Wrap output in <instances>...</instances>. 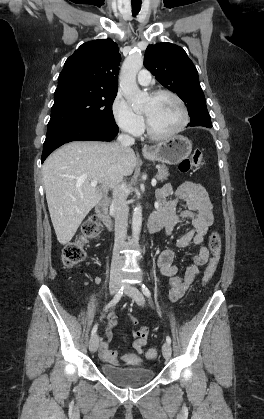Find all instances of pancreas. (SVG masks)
Instances as JSON below:
<instances>
[{"label":"pancreas","instance_id":"pancreas-1","mask_svg":"<svg viewBox=\"0 0 264 419\" xmlns=\"http://www.w3.org/2000/svg\"><path fill=\"white\" fill-rule=\"evenodd\" d=\"M169 176V169L165 165H161L158 167L157 179L159 181H164Z\"/></svg>","mask_w":264,"mask_h":419}]
</instances>
